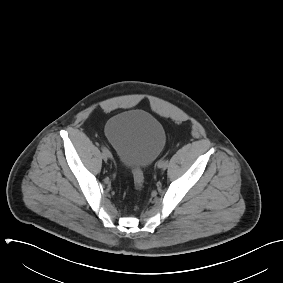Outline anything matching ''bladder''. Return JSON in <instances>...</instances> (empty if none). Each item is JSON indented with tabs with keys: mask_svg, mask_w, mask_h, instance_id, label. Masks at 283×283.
<instances>
[{
	"mask_svg": "<svg viewBox=\"0 0 283 283\" xmlns=\"http://www.w3.org/2000/svg\"><path fill=\"white\" fill-rule=\"evenodd\" d=\"M105 135L124 166L140 169L154 162L166 142L160 121L142 110L113 116L105 126Z\"/></svg>",
	"mask_w": 283,
	"mask_h": 283,
	"instance_id": "obj_1",
	"label": "bladder"
}]
</instances>
